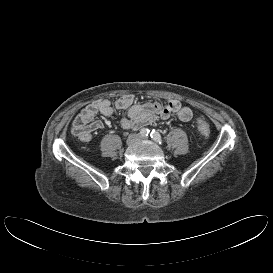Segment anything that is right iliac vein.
Segmentation results:
<instances>
[{
	"mask_svg": "<svg viewBox=\"0 0 273 273\" xmlns=\"http://www.w3.org/2000/svg\"><path fill=\"white\" fill-rule=\"evenodd\" d=\"M138 140L136 135H130L126 141L127 145H133Z\"/></svg>",
	"mask_w": 273,
	"mask_h": 273,
	"instance_id": "1",
	"label": "right iliac vein"
}]
</instances>
